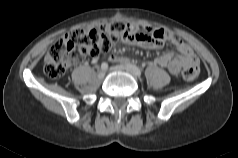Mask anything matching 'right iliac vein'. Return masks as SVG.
Segmentation results:
<instances>
[{
    "mask_svg": "<svg viewBox=\"0 0 238 158\" xmlns=\"http://www.w3.org/2000/svg\"><path fill=\"white\" fill-rule=\"evenodd\" d=\"M105 74H106V72L105 71H100L99 73H98V78L99 79H103L104 77H105Z\"/></svg>",
    "mask_w": 238,
    "mask_h": 158,
    "instance_id": "obj_1",
    "label": "right iliac vein"
}]
</instances>
